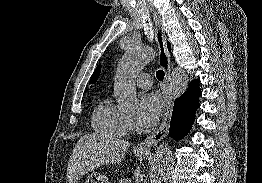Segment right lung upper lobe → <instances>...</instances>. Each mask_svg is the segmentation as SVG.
<instances>
[{
  "label": "right lung upper lobe",
  "mask_w": 262,
  "mask_h": 183,
  "mask_svg": "<svg viewBox=\"0 0 262 183\" xmlns=\"http://www.w3.org/2000/svg\"><path fill=\"white\" fill-rule=\"evenodd\" d=\"M167 45H168V49H169V51H170V49H171V48H170V43H167ZM99 72H100V67L98 66V67L96 68V70L94 71L92 77H91L90 83H95V82H96V80H97V78H98V76H99Z\"/></svg>",
  "instance_id": "cb5924a9"
}]
</instances>
